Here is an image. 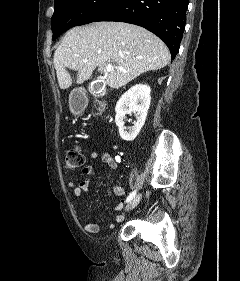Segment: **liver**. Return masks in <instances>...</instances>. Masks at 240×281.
<instances>
[{"label": "liver", "instance_id": "1", "mask_svg": "<svg viewBox=\"0 0 240 281\" xmlns=\"http://www.w3.org/2000/svg\"><path fill=\"white\" fill-rule=\"evenodd\" d=\"M171 56L167 46L143 27L122 22H95L74 27L54 53V67L61 89L72 85L67 69L77 71V84L87 81L96 67L113 63L106 84L118 89L145 73L165 67ZM87 60V62H84Z\"/></svg>", "mask_w": 240, "mask_h": 281}]
</instances>
